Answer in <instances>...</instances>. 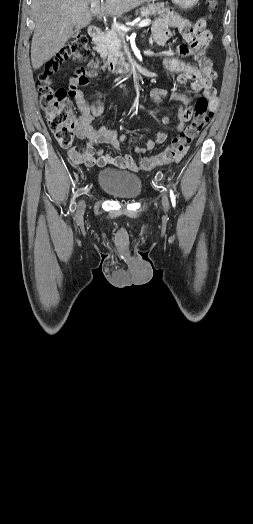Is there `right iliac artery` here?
I'll return each instance as SVG.
<instances>
[{"instance_id": "82829eb1", "label": "right iliac artery", "mask_w": 253, "mask_h": 524, "mask_svg": "<svg viewBox=\"0 0 253 524\" xmlns=\"http://www.w3.org/2000/svg\"><path fill=\"white\" fill-rule=\"evenodd\" d=\"M80 195V191L79 190H75L73 191V197L71 199V203H70V211L71 212H74L76 210V199L77 197Z\"/></svg>"}]
</instances>
